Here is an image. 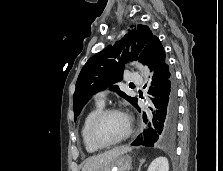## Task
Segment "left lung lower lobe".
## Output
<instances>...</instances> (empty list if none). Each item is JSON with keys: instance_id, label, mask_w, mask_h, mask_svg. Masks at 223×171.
<instances>
[{"instance_id": "left-lung-lower-lobe-1", "label": "left lung lower lobe", "mask_w": 223, "mask_h": 171, "mask_svg": "<svg viewBox=\"0 0 223 171\" xmlns=\"http://www.w3.org/2000/svg\"><path fill=\"white\" fill-rule=\"evenodd\" d=\"M153 72L149 94L155 110L152 123L132 143L133 146L171 145L175 139L177 128L178 104L176 80L173 71L165 60V51L160 41H157L148 57L147 63ZM139 111L140 108L135 106ZM143 119L147 123L146 114Z\"/></svg>"}]
</instances>
